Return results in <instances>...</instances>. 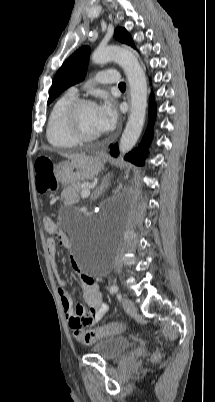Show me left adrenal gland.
I'll list each match as a JSON object with an SVG mask.
<instances>
[{"instance_id": "obj_1", "label": "left adrenal gland", "mask_w": 215, "mask_h": 402, "mask_svg": "<svg viewBox=\"0 0 215 402\" xmlns=\"http://www.w3.org/2000/svg\"><path fill=\"white\" fill-rule=\"evenodd\" d=\"M110 184V174H107L104 176V178L101 181V184L93 191L91 195V200H96L101 194L105 192L107 187Z\"/></svg>"}]
</instances>
